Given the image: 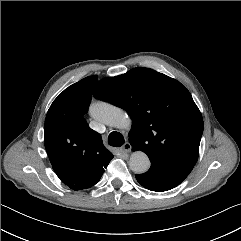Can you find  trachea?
<instances>
[{
    "mask_svg": "<svg viewBox=\"0 0 241 241\" xmlns=\"http://www.w3.org/2000/svg\"><path fill=\"white\" fill-rule=\"evenodd\" d=\"M124 137L119 132H111L108 136V143L114 147H120L124 144Z\"/></svg>",
    "mask_w": 241,
    "mask_h": 241,
    "instance_id": "trachea-1",
    "label": "trachea"
}]
</instances>
